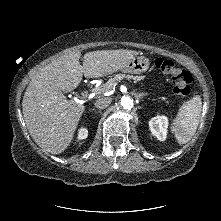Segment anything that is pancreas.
<instances>
[{
  "instance_id": "pancreas-1",
  "label": "pancreas",
  "mask_w": 221,
  "mask_h": 221,
  "mask_svg": "<svg viewBox=\"0 0 221 221\" xmlns=\"http://www.w3.org/2000/svg\"><path fill=\"white\" fill-rule=\"evenodd\" d=\"M132 79L135 83L144 79V76H133V75H125V74H117L113 78H110L106 84L102 87H105V90H110L113 86H115L122 79ZM164 99V98H162Z\"/></svg>"
}]
</instances>
